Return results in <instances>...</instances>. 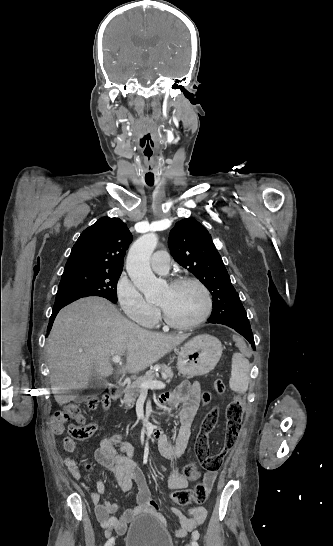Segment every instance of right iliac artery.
Segmentation results:
<instances>
[{
  "mask_svg": "<svg viewBox=\"0 0 333 546\" xmlns=\"http://www.w3.org/2000/svg\"><path fill=\"white\" fill-rule=\"evenodd\" d=\"M114 540H115L114 537L110 538V539L106 542L105 546H112V545L114 544Z\"/></svg>",
  "mask_w": 333,
  "mask_h": 546,
  "instance_id": "right-iliac-artery-1",
  "label": "right iliac artery"
}]
</instances>
